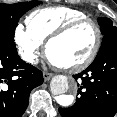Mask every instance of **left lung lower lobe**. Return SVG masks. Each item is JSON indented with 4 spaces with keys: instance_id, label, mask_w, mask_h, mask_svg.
Here are the masks:
<instances>
[{
    "instance_id": "left-lung-lower-lobe-1",
    "label": "left lung lower lobe",
    "mask_w": 117,
    "mask_h": 117,
    "mask_svg": "<svg viewBox=\"0 0 117 117\" xmlns=\"http://www.w3.org/2000/svg\"><path fill=\"white\" fill-rule=\"evenodd\" d=\"M79 97L70 108H59L62 117H113L117 112V41L113 42L83 72Z\"/></svg>"
}]
</instances>
